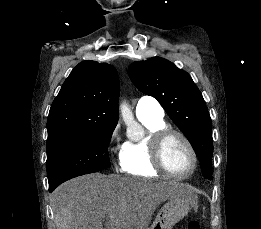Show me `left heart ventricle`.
Returning <instances> with one entry per match:
<instances>
[{"instance_id": "1", "label": "left heart ventricle", "mask_w": 261, "mask_h": 229, "mask_svg": "<svg viewBox=\"0 0 261 229\" xmlns=\"http://www.w3.org/2000/svg\"><path fill=\"white\" fill-rule=\"evenodd\" d=\"M165 159L170 169L178 174H184L192 167L191 154L185 143L177 137L167 143Z\"/></svg>"}]
</instances>
